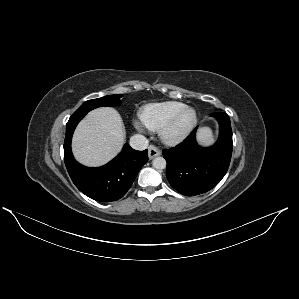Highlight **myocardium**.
<instances>
[{
  "label": "myocardium",
  "mask_w": 299,
  "mask_h": 299,
  "mask_svg": "<svg viewBox=\"0 0 299 299\" xmlns=\"http://www.w3.org/2000/svg\"><path fill=\"white\" fill-rule=\"evenodd\" d=\"M192 112L193 118L189 124L185 127H179V122L182 116L187 113ZM198 122L197 111L193 107L185 106L174 114L161 128V134L163 139L168 143H179L185 140L193 131Z\"/></svg>",
  "instance_id": "myocardium-1"
}]
</instances>
